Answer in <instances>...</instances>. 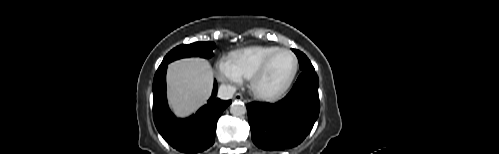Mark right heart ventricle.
Segmentation results:
<instances>
[{
  "mask_svg": "<svg viewBox=\"0 0 499 154\" xmlns=\"http://www.w3.org/2000/svg\"><path fill=\"white\" fill-rule=\"evenodd\" d=\"M278 49L274 46H250L232 52L228 58L242 78L250 79L263 61Z\"/></svg>",
  "mask_w": 499,
  "mask_h": 154,
  "instance_id": "e07e8e85",
  "label": "right heart ventricle"
}]
</instances>
